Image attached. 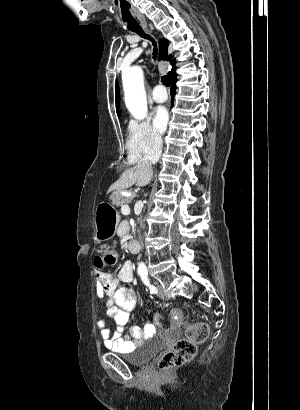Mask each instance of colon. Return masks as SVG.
<instances>
[{
    "instance_id": "5ec220e1",
    "label": "colon",
    "mask_w": 300,
    "mask_h": 410,
    "mask_svg": "<svg viewBox=\"0 0 300 410\" xmlns=\"http://www.w3.org/2000/svg\"><path fill=\"white\" fill-rule=\"evenodd\" d=\"M117 252L114 249H104L95 257V265L98 268L113 266L117 262ZM181 308L172 311L171 324L179 325L181 330H187V337L178 340L174 346L164 353L158 360V368L161 371L180 366L191 360L197 351V345L205 342L209 336L207 324L198 322L189 325L182 315Z\"/></svg>"
}]
</instances>
